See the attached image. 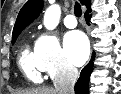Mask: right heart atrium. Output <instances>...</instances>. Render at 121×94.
Returning <instances> with one entry per match:
<instances>
[{
	"instance_id": "right-heart-atrium-1",
	"label": "right heart atrium",
	"mask_w": 121,
	"mask_h": 94,
	"mask_svg": "<svg viewBox=\"0 0 121 94\" xmlns=\"http://www.w3.org/2000/svg\"><path fill=\"white\" fill-rule=\"evenodd\" d=\"M34 53L39 68L51 78H69L76 73L53 34H41L35 43Z\"/></svg>"
}]
</instances>
